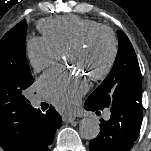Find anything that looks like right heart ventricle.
Segmentation results:
<instances>
[{
  "instance_id": "obj_1",
  "label": "right heart ventricle",
  "mask_w": 151,
  "mask_h": 151,
  "mask_svg": "<svg viewBox=\"0 0 151 151\" xmlns=\"http://www.w3.org/2000/svg\"><path fill=\"white\" fill-rule=\"evenodd\" d=\"M96 26L100 24L94 20L70 15L45 19L40 22L39 29L61 52H66Z\"/></svg>"
}]
</instances>
